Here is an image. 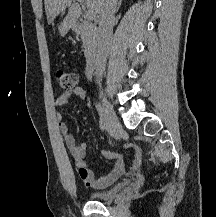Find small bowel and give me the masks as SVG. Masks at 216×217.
Wrapping results in <instances>:
<instances>
[{
    "label": "small bowel",
    "instance_id": "c3829d8e",
    "mask_svg": "<svg viewBox=\"0 0 216 217\" xmlns=\"http://www.w3.org/2000/svg\"><path fill=\"white\" fill-rule=\"evenodd\" d=\"M87 97V90L83 87H75L72 90L64 91L56 98L57 106H64L72 99L83 100ZM59 132L63 138L64 144L69 151L74 163L78 169L81 180L90 187L104 188L115 183L125 171V158L123 153H114L102 151V156L107 160H113L112 169L105 175L96 176L85 161L88 150L86 142L77 143L74 135L70 133L67 124L63 120L62 114H57ZM133 152L134 158L131 166V173L134 174L141 166L140 153L137 147L131 144L128 148Z\"/></svg>",
    "mask_w": 216,
    "mask_h": 217
}]
</instances>
